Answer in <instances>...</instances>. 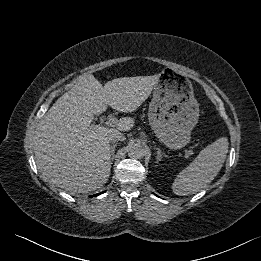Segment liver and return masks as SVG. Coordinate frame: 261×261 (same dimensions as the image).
Listing matches in <instances>:
<instances>
[{
    "instance_id": "liver-1",
    "label": "liver",
    "mask_w": 261,
    "mask_h": 261,
    "mask_svg": "<svg viewBox=\"0 0 261 261\" xmlns=\"http://www.w3.org/2000/svg\"><path fill=\"white\" fill-rule=\"evenodd\" d=\"M159 74L123 77L104 86L82 74L44 115L33 137L35 160L44 180L73 193H88L104 186L111 169L109 135L129 131L132 118H121L117 128L93 124L94 115L110 106L133 112L149 97Z\"/></svg>"
}]
</instances>
